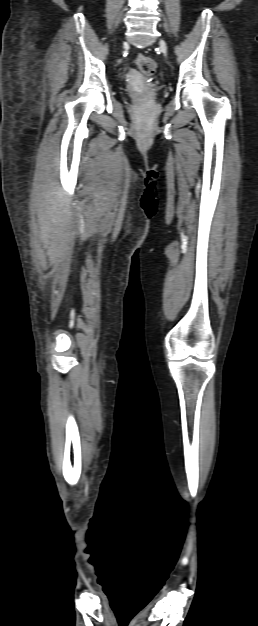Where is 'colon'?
<instances>
[{
	"mask_svg": "<svg viewBox=\"0 0 258 626\" xmlns=\"http://www.w3.org/2000/svg\"><path fill=\"white\" fill-rule=\"evenodd\" d=\"M136 64L138 66V68L140 69V71L142 73H144L147 76L152 75L155 70H156V63L155 61L144 55V54H139L136 58Z\"/></svg>",
	"mask_w": 258,
	"mask_h": 626,
	"instance_id": "colon-1",
	"label": "colon"
}]
</instances>
